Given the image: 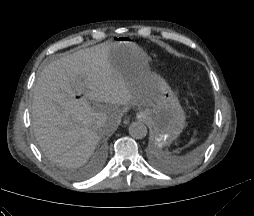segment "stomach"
<instances>
[{
  "label": "stomach",
  "mask_w": 254,
  "mask_h": 216,
  "mask_svg": "<svg viewBox=\"0 0 254 216\" xmlns=\"http://www.w3.org/2000/svg\"><path fill=\"white\" fill-rule=\"evenodd\" d=\"M113 58L129 78L150 77L149 90L153 103L141 109L137 117L151 126L155 144L169 146L181 134L186 119L175 93L164 79L150 73L149 58L136 43L127 38L115 41Z\"/></svg>",
  "instance_id": "stomach-1"
}]
</instances>
